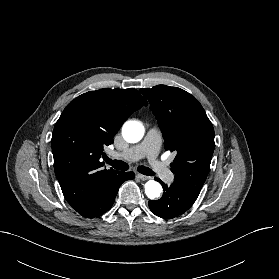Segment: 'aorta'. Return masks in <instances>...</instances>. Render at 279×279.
I'll return each mask as SVG.
<instances>
[{"instance_id":"762f6f07","label":"aorta","mask_w":279,"mask_h":279,"mask_svg":"<svg viewBox=\"0 0 279 279\" xmlns=\"http://www.w3.org/2000/svg\"><path fill=\"white\" fill-rule=\"evenodd\" d=\"M122 135L129 143L139 142L144 135V127L138 121H127L122 127ZM145 193L148 198L154 199L160 196L162 186L155 180H149L144 185Z\"/></svg>"}]
</instances>
